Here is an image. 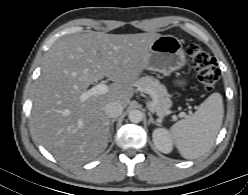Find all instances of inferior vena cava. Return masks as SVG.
I'll return each instance as SVG.
<instances>
[{
	"label": "inferior vena cava",
	"mask_w": 248,
	"mask_h": 195,
	"mask_svg": "<svg viewBox=\"0 0 248 195\" xmlns=\"http://www.w3.org/2000/svg\"><path fill=\"white\" fill-rule=\"evenodd\" d=\"M123 106L116 102H110L105 106V112L109 118H116L122 114Z\"/></svg>",
	"instance_id": "obj_1"
}]
</instances>
